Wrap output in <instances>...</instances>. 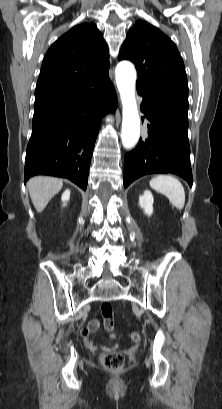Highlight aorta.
Instances as JSON below:
<instances>
[{
    "label": "aorta",
    "instance_id": "aorta-1",
    "mask_svg": "<svg viewBox=\"0 0 222 409\" xmlns=\"http://www.w3.org/2000/svg\"><path fill=\"white\" fill-rule=\"evenodd\" d=\"M115 75L123 106L122 145L126 149H131L140 138V117L135 99L136 71L130 62L122 61L117 65Z\"/></svg>",
    "mask_w": 222,
    "mask_h": 409
}]
</instances>
